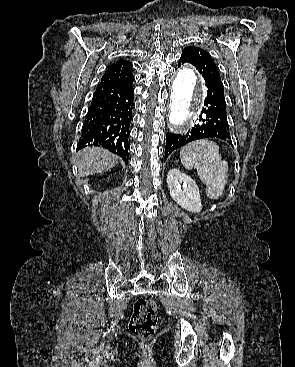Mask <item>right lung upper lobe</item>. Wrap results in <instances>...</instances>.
<instances>
[{
	"mask_svg": "<svg viewBox=\"0 0 295 367\" xmlns=\"http://www.w3.org/2000/svg\"><path fill=\"white\" fill-rule=\"evenodd\" d=\"M132 64L126 60H119L112 64L105 72L102 82L120 83L133 80Z\"/></svg>",
	"mask_w": 295,
	"mask_h": 367,
	"instance_id": "cb5924a9",
	"label": "right lung upper lobe"
}]
</instances>
